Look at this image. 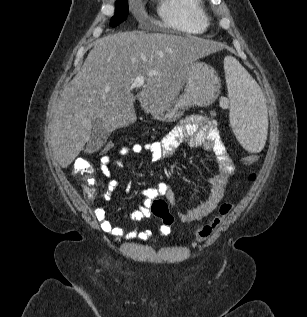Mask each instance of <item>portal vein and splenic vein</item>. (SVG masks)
<instances>
[{"mask_svg":"<svg viewBox=\"0 0 307 317\" xmlns=\"http://www.w3.org/2000/svg\"><path fill=\"white\" fill-rule=\"evenodd\" d=\"M149 75H152V73H149ZM145 77L143 75H139L135 78L134 82L132 83V88H139L144 85Z\"/></svg>","mask_w":307,"mask_h":317,"instance_id":"portal-vein-and-splenic-vein-1","label":"portal vein and splenic vein"}]
</instances>
